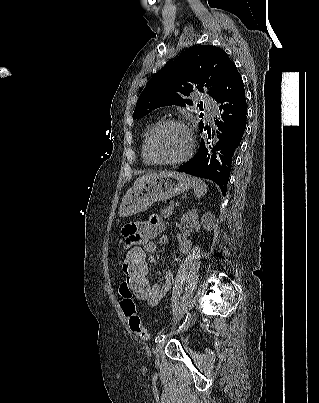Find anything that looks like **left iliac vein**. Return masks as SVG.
Wrapping results in <instances>:
<instances>
[{
	"label": "left iliac vein",
	"mask_w": 319,
	"mask_h": 403,
	"mask_svg": "<svg viewBox=\"0 0 319 403\" xmlns=\"http://www.w3.org/2000/svg\"><path fill=\"white\" fill-rule=\"evenodd\" d=\"M194 320H195V318H194V319H190V322L181 330L182 333L188 331V330L191 328V326L193 325ZM165 342H166L165 339H163V340H161L160 342H158L157 345H156V347H155L154 355H155V359H156V364H157V365L159 364V360H160L161 354H162V352H163V349H164V346H165Z\"/></svg>",
	"instance_id": "4c4485c4"
}]
</instances>
